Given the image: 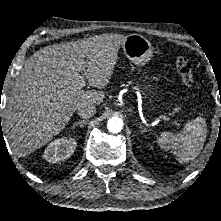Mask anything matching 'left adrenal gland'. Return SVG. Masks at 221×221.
<instances>
[{"instance_id":"1","label":"left adrenal gland","mask_w":221,"mask_h":221,"mask_svg":"<svg viewBox=\"0 0 221 221\" xmlns=\"http://www.w3.org/2000/svg\"><path fill=\"white\" fill-rule=\"evenodd\" d=\"M139 125H140L139 128L141 129V132H142V133H143V132H146V129L143 128L142 124L140 123Z\"/></svg>"}]
</instances>
